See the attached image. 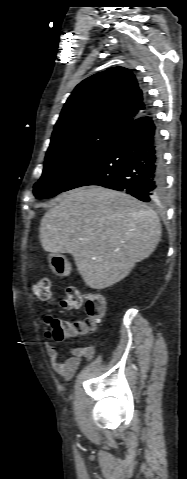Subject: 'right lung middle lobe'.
<instances>
[{"mask_svg": "<svg viewBox=\"0 0 187 479\" xmlns=\"http://www.w3.org/2000/svg\"><path fill=\"white\" fill-rule=\"evenodd\" d=\"M121 131L113 126L97 124L72 129L51 138L42 177L34 185L36 198H50L64 191L72 179L99 157Z\"/></svg>", "mask_w": 187, "mask_h": 479, "instance_id": "dd1d6c3e", "label": "right lung middle lobe"}]
</instances>
